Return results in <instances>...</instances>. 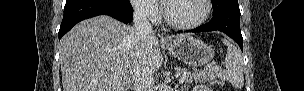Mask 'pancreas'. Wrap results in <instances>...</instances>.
<instances>
[{
    "label": "pancreas",
    "instance_id": "cf45deb5",
    "mask_svg": "<svg viewBox=\"0 0 304 91\" xmlns=\"http://www.w3.org/2000/svg\"><path fill=\"white\" fill-rule=\"evenodd\" d=\"M177 71L182 75L187 72L185 69L177 68ZM219 79V80H217ZM223 79V71L219 67L208 66L204 68V70L196 71L193 73H189L186 78V82L191 83L195 82H204L208 81L212 84L217 83L221 84Z\"/></svg>",
    "mask_w": 304,
    "mask_h": 91
}]
</instances>
